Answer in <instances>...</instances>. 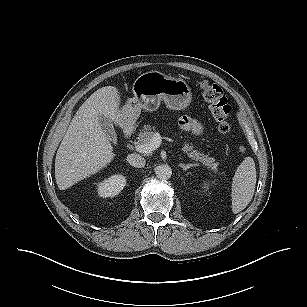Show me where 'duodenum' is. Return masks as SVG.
<instances>
[{
	"label": "duodenum",
	"instance_id": "1",
	"mask_svg": "<svg viewBox=\"0 0 307 307\" xmlns=\"http://www.w3.org/2000/svg\"><path fill=\"white\" fill-rule=\"evenodd\" d=\"M131 136H132V133H129V134H128V137H131Z\"/></svg>",
	"mask_w": 307,
	"mask_h": 307
}]
</instances>
